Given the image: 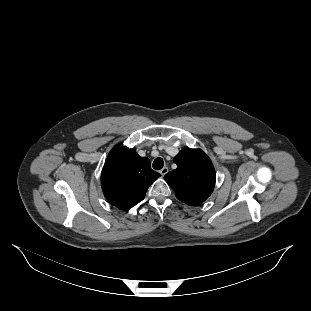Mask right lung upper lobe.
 Here are the masks:
<instances>
[{
    "mask_svg": "<svg viewBox=\"0 0 311 311\" xmlns=\"http://www.w3.org/2000/svg\"><path fill=\"white\" fill-rule=\"evenodd\" d=\"M161 175L151 169V162L134 149L121 144L109 153L101 173L106 199L121 210L142 201L149 186Z\"/></svg>",
    "mask_w": 311,
    "mask_h": 311,
    "instance_id": "right-lung-upper-lobe-1",
    "label": "right lung upper lobe"
}]
</instances>
